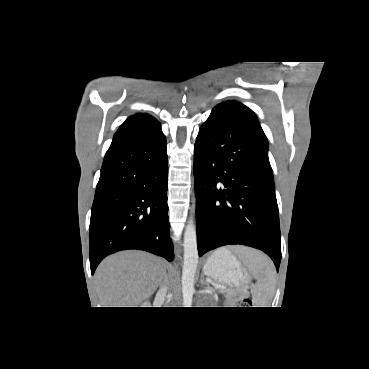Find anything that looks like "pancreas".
<instances>
[{
  "mask_svg": "<svg viewBox=\"0 0 369 369\" xmlns=\"http://www.w3.org/2000/svg\"><path fill=\"white\" fill-rule=\"evenodd\" d=\"M223 293H225L227 302L229 304H234L236 303L240 298H243L244 296H247L246 292L240 291V292H233L230 290H225L222 291Z\"/></svg>",
  "mask_w": 369,
  "mask_h": 369,
  "instance_id": "1",
  "label": "pancreas"
}]
</instances>
